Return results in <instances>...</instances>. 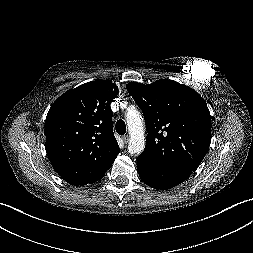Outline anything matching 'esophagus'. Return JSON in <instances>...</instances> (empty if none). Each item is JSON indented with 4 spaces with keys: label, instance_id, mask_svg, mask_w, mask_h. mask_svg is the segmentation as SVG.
I'll return each mask as SVG.
<instances>
[{
    "label": "esophagus",
    "instance_id": "obj_1",
    "mask_svg": "<svg viewBox=\"0 0 253 253\" xmlns=\"http://www.w3.org/2000/svg\"><path fill=\"white\" fill-rule=\"evenodd\" d=\"M122 140H123V142H124L125 144H127L128 141H129V136H128V135H124V136L122 137Z\"/></svg>",
    "mask_w": 253,
    "mask_h": 253
}]
</instances>
